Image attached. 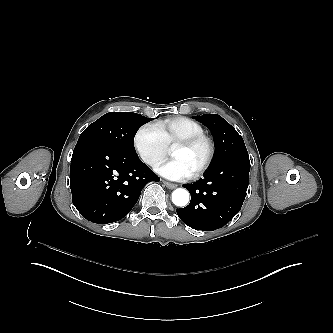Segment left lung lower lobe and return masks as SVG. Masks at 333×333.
<instances>
[{
  "label": "left lung lower lobe",
  "instance_id": "1",
  "mask_svg": "<svg viewBox=\"0 0 333 333\" xmlns=\"http://www.w3.org/2000/svg\"><path fill=\"white\" fill-rule=\"evenodd\" d=\"M248 154L236 155L211 167L204 178L186 184L191 202L176 209L179 218L196 230L214 231L227 224L241 209L248 188Z\"/></svg>",
  "mask_w": 333,
  "mask_h": 333
}]
</instances>
